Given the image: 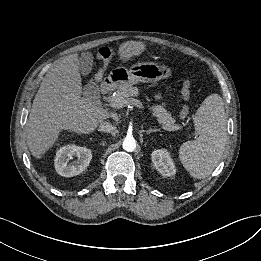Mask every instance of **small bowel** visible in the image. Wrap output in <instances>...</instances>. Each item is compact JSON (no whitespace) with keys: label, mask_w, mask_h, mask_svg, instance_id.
Returning <instances> with one entry per match:
<instances>
[{"label":"small bowel","mask_w":261,"mask_h":261,"mask_svg":"<svg viewBox=\"0 0 261 261\" xmlns=\"http://www.w3.org/2000/svg\"><path fill=\"white\" fill-rule=\"evenodd\" d=\"M188 83V82H185ZM183 100H184V106H183V110L186 112V114L188 113V101H189V96H183ZM182 117H185V115H181Z\"/></svg>","instance_id":"c3829d8e"}]
</instances>
